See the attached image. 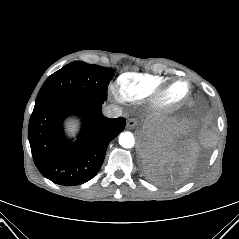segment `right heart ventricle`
Returning a JSON list of instances; mask_svg holds the SVG:
<instances>
[{
	"label": "right heart ventricle",
	"mask_w": 239,
	"mask_h": 239,
	"mask_svg": "<svg viewBox=\"0 0 239 239\" xmlns=\"http://www.w3.org/2000/svg\"><path fill=\"white\" fill-rule=\"evenodd\" d=\"M166 83L164 77L139 72H125L117 79L121 95L130 101L144 99Z\"/></svg>",
	"instance_id": "obj_1"
}]
</instances>
